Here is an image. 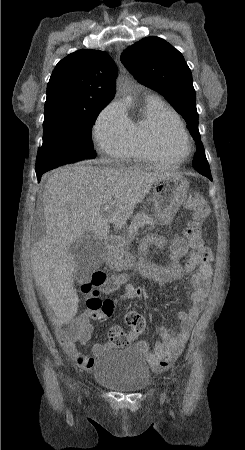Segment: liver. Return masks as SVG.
<instances>
[{"label": "liver", "mask_w": 245, "mask_h": 450, "mask_svg": "<svg viewBox=\"0 0 245 450\" xmlns=\"http://www.w3.org/2000/svg\"><path fill=\"white\" fill-rule=\"evenodd\" d=\"M168 176L180 177L139 167L74 165L52 171L43 192L46 236L31 250V267L36 283L60 317L71 319L79 301L71 244L86 234L97 241L107 238L110 223L120 230L152 185ZM106 205L112 206L108 217L104 215Z\"/></svg>", "instance_id": "obj_1"}]
</instances>
